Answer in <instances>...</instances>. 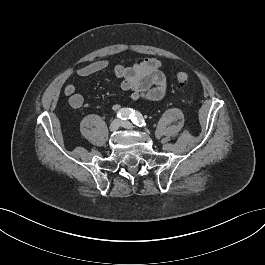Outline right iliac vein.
Segmentation results:
<instances>
[{"label": "right iliac vein", "mask_w": 265, "mask_h": 265, "mask_svg": "<svg viewBox=\"0 0 265 265\" xmlns=\"http://www.w3.org/2000/svg\"><path fill=\"white\" fill-rule=\"evenodd\" d=\"M120 124H121V123H120V120H119V119H115V120H113V121L111 122L110 126H109V130H110L111 132H115L116 130L119 129Z\"/></svg>", "instance_id": "obj_1"}]
</instances>
